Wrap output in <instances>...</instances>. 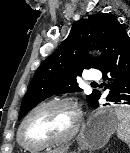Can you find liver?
<instances>
[{
    "instance_id": "liver-1",
    "label": "liver",
    "mask_w": 130,
    "mask_h": 153,
    "mask_svg": "<svg viewBox=\"0 0 130 153\" xmlns=\"http://www.w3.org/2000/svg\"><path fill=\"white\" fill-rule=\"evenodd\" d=\"M55 153H63V150H56Z\"/></svg>"
}]
</instances>
